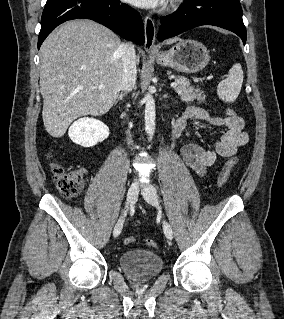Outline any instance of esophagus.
<instances>
[{"label":"esophagus","mask_w":284,"mask_h":319,"mask_svg":"<svg viewBox=\"0 0 284 319\" xmlns=\"http://www.w3.org/2000/svg\"><path fill=\"white\" fill-rule=\"evenodd\" d=\"M145 44L144 48L147 52L157 51L155 45L156 27L153 19L149 16L144 18Z\"/></svg>","instance_id":"esophagus-1"}]
</instances>
